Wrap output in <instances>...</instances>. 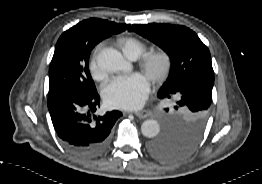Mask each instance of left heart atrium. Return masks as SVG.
<instances>
[{
    "label": "left heart atrium",
    "instance_id": "left-heart-atrium-1",
    "mask_svg": "<svg viewBox=\"0 0 262 184\" xmlns=\"http://www.w3.org/2000/svg\"><path fill=\"white\" fill-rule=\"evenodd\" d=\"M147 81L141 76L119 81L107 91V101L115 106H134L143 101Z\"/></svg>",
    "mask_w": 262,
    "mask_h": 184
}]
</instances>
